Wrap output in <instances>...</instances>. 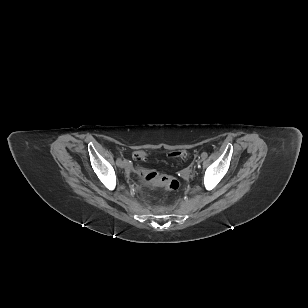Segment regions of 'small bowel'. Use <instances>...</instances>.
<instances>
[{
	"label": "small bowel",
	"instance_id": "small-bowel-1",
	"mask_svg": "<svg viewBox=\"0 0 308 308\" xmlns=\"http://www.w3.org/2000/svg\"><path fill=\"white\" fill-rule=\"evenodd\" d=\"M128 164V168L130 169L131 168V164L130 163H127Z\"/></svg>",
	"mask_w": 308,
	"mask_h": 308
}]
</instances>
